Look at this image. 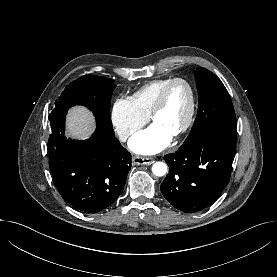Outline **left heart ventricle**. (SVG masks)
Masks as SVG:
<instances>
[{
  "label": "left heart ventricle",
  "mask_w": 277,
  "mask_h": 277,
  "mask_svg": "<svg viewBox=\"0 0 277 277\" xmlns=\"http://www.w3.org/2000/svg\"><path fill=\"white\" fill-rule=\"evenodd\" d=\"M188 108V92L181 83L172 85L167 93L163 108L154 119L172 135L176 133L185 121Z\"/></svg>",
  "instance_id": "left-heart-ventricle-1"
}]
</instances>
